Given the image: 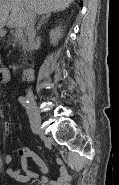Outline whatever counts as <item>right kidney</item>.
<instances>
[{
	"label": "right kidney",
	"instance_id": "right-kidney-1",
	"mask_svg": "<svg viewBox=\"0 0 119 185\" xmlns=\"http://www.w3.org/2000/svg\"><path fill=\"white\" fill-rule=\"evenodd\" d=\"M62 29L61 26L56 27L55 29L51 30L49 35H50V39H51V43L53 45H56L59 41V39L62 37Z\"/></svg>",
	"mask_w": 119,
	"mask_h": 185
}]
</instances>
